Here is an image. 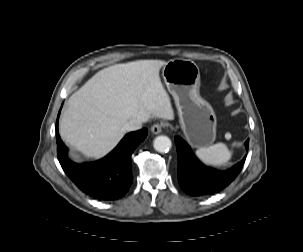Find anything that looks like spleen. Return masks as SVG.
I'll use <instances>...</instances> for the list:
<instances>
[{
    "instance_id": "3e777b00",
    "label": "spleen",
    "mask_w": 303,
    "mask_h": 252,
    "mask_svg": "<svg viewBox=\"0 0 303 252\" xmlns=\"http://www.w3.org/2000/svg\"><path fill=\"white\" fill-rule=\"evenodd\" d=\"M197 157L207 165L223 166L231 159L233 151L224 143H217L209 147L196 150Z\"/></svg>"
}]
</instances>
